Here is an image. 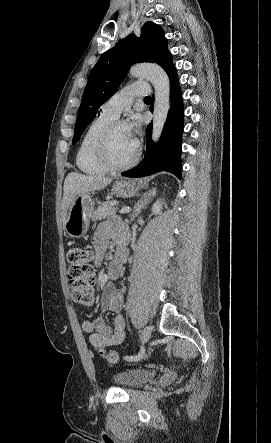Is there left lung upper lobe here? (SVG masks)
<instances>
[{"instance_id": "left-lung-upper-lobe-1", "label": "left lung upper lobe", "mask_w": 271, "mask_h": 443, "mask_svg": "<svg viewBox=\"0 0 271 443\" xmlns=\"http://www.w3.org/2000/svg\"><path fill=\"white\" fill-rule=\"evenodd\" d=\"M167 52L164 31L152 22H146L143 25L140 38L131 34L106 51L90 72L79 108L72 144L79 140L99 107L116 92L133 63H157Z\"/></svg>"}]
</instances>
